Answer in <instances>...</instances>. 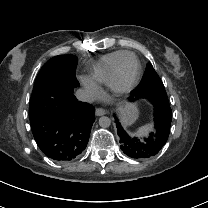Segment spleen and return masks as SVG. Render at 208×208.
<instances>
[{
	"instance_id": "1",
	"label": "spleen",
	"mask_w": 208,
	"mask_h": 208,
	"mask_svg": "<svg viewBox=\"0 0 208 208\" xmlns=\"http://www.w3.org/2000/svg\"><path fill=\"white\" fill-rule=\"evenodd\" d=\"M152 130H153L152 124L144 125L137 130L136 135L139 137L146 136Z\"/></svg>"
}]
</instances>
